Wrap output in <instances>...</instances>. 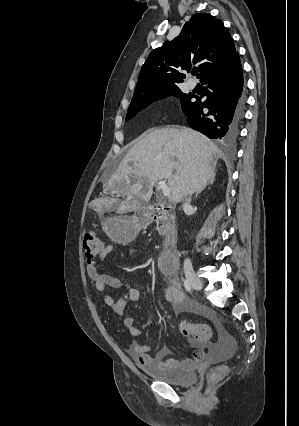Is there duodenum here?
<instances>
[{
  "instance_id": "duodenum-1",
  "label": "duodenum",
  "mask_w": 299,
  "mask_h": 426,
  "mask_svg": "<svg viewBox=\"0 0 299 426\" xmlns=\"http://www.w3.org/2000/svg\"><path fill=\"white\" fill-rule=\"evenodd\" d=\"M163 209L162 205H155L147 208L140 216L142 223L152 221ZM178 266V257L175 250V241H169L167 248L158 258V267L164 274L172 275L176 272Z\"/></svg>"
}]
</instances>
